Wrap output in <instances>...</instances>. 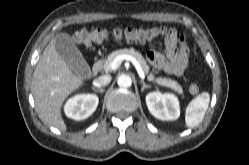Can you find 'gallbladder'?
<instances>
[{
	"mask_svg": "<svg viewBox=\"0 0 249 165\" xmlns=\"http://www.w3.org/2000/svg\"><path fill=\"white\" fill-rule=\"evenodd\" d=\"M55 48L66 64L79 76L86 77L90 67L70 35L60 33L55 37Z\"/></svg>",
	"mask_w": 249,
	"mask_h": 165,
	"instance_id": "obj_1",
	"label": "gallbladder"
}]
</instances>
